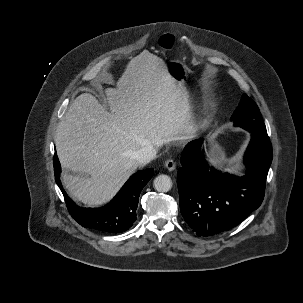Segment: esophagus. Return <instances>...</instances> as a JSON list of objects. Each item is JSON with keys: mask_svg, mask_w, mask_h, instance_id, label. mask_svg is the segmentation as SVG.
<instances>
[{"mask_svg": "<svg viewBox=\"0 0 303 303\" xmlns=\"http://www.w3.org/2000/svg\"><path fill=\"white\" fill-rule=\"evenodd\" d=\"M165 167L169 170V171H173L176 168V163L174 160L172 159H168L165 161Z\"/></svg>", "mask_w": 303, "mask_h": 303, "instance_id": "1", "label": "esophagus"}]
</instances>
